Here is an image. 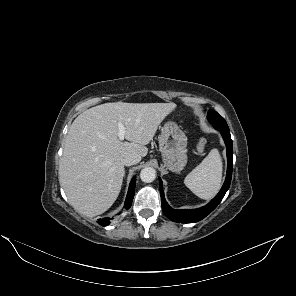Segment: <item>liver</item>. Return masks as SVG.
<instances>
[{"label": "liver", "instance_id": "liver-1", "mask_svg": "<svg viewBox=\"0 0 296 296\" xmlns=\"http://www.w3.org/2000/svg\"><path fill=\"white\" fill-rule=\"evenodd\" d=\"M176 108L174 103H105L81 113L65 138L59 182L72 207L94 217L117 199L124 177L123 159L145 157L158 126ZM126 128L118 138V123Z\"/></svg>", "mask_w": 296, "mask_h": 296}]
</instances>
